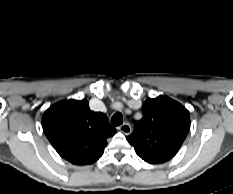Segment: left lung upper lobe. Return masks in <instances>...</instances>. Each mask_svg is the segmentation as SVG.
Returning <instances> with one entry per match:
<instances>
[{
  "label": "left lung upper lobe",
  "mask_w": 233,
  "mask_h": 194,
  "mask_svg": "<svg viewBox=\"0 0 233 194\" xmlns=\"http://www.w3.org/2000/svg\"><path fill=\"white\" fill-rule=\"evenodd\" d=\"M143 118L127 137L136 154L151 164L164 163L179 151L190 129L188 110L167 96L148 98Z\"/></svg>",
  "instance_id": "1"
}]
</instances>
